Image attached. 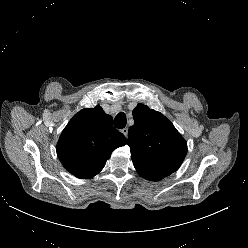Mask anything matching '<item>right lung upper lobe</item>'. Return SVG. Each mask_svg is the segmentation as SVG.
Masks as SVG:
<instances>
[{
  "label": "right lung upper lobe",
  "mask_w": 248,
  "mask_h": 248,
  "mask_svg": "<svg viewBox=\"0 0 248 248\" xmlns=\"http://www.w3.org/2000/svg\"><path fill=\"white\" fill-rule=\"evenodd\" d=\"M127 143L112 125V117L97 105L79 111L61 133L57 155L63 166L80 179L98 174L112 151Z\"/></svg>",
  "instance_id": "cb5924a9"
}]
</instances>
